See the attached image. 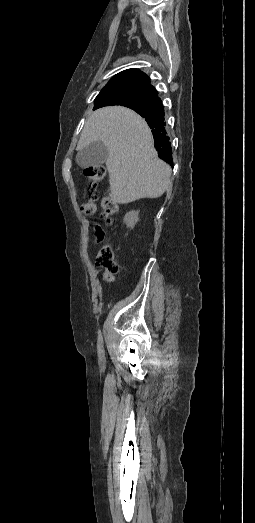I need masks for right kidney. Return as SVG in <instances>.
<instances>
[{"mask_svg":"<svg viewBox=\"0 0 255 523\" xmlns=\"http://www.w3.org/2000/svg\"><path fill=\"white\" fill-rule=\"evenodd\" d=\"M139 212H127L124 216V224H126L127 228H134L135 224L139 222L138 218Z\"/></svg>","mask_w":255,"mask_h":523,"instance_id":"1","label":"right kidney"}]
</instances>
